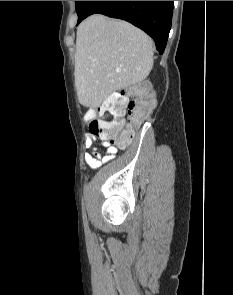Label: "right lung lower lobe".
Listing matches in <instances>:
<instances>
[{
	"instance_id": "98d812e1",
	"label": "right lung lower lobe",
	"mask_w": 233,
	"mask_h": 295,
	"mask_svg": "<svg viewBox=\"0 0 233 295\" xmlns=\"http://www.w3.org/2000/svg\"><path fill=\"white\" fill-rule=\"evenodd\" d=\"M173 7L174 1H88L78 24L94 13L126 20L150 35L162 54L171 28Z\"/></svg>"
}]
</instances>
